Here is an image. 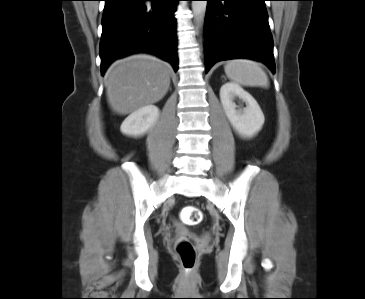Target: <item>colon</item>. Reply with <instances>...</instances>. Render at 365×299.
I'll list each match as a JSON object with an SVG mask.
<instances>
[{
	"label": "colon",
	"mask_w": 365,
	"mask_h": 299,
	"mask_svg": "<svg viewBox=\"0 0 365 299\" xmlns=\"http://www.w3.org/2000/svg\"><path fill=\"white\" fill-rule=\"evenodd\" d=\"M180 219L185 225L196 226L202 222L203 214L197 206L187 205L182 208ZM176 250L183 267L185 269L193 268L196 255L192 243L187 239H183L177 245Z\"/></svg>",
	"instance_id": "1"
}]
</instances>
